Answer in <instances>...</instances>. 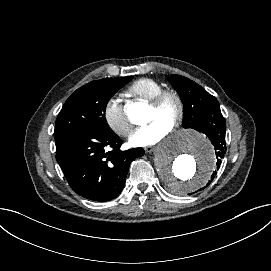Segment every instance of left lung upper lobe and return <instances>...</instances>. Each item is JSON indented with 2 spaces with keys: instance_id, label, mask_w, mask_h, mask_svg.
Returning <instances> with one entry per match:
<instances>
[{
  "instance_id": "obj_1",
  "label": "left lung upper lobe",
  "mask_w": 271,
  "mask_h": 271,
  "mask_svg": "<svg viewBox=\"0 0 271 271\" xmlns=\"http://www.w3.org/2000/svg\"><path fill=\"white\" fill-rule=\"evenodd\" d=\"M169 81L184 104V128L196 129L213 112L220 110L218 100L194 81L181 75H172Z\"/></svg>"
}]
</instances>
